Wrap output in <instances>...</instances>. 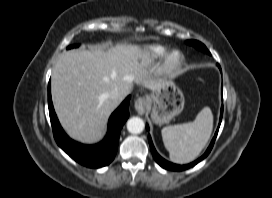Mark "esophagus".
Instances as JSON below:
<instances>
[{
    "instance_id": "1",
    "label": "esophagus",
    "mask_w": 272,
    "mask_h": 198,
    "mask_svg": "<svg viewBox=\"0 0 272 198\" xmlns=\"http://www.w3.org/2000/svg\"><path fill=\"white\" fill-rule=\"evenodd\" d=\"M134 107L135 110L139 113V114H143L147 108V102L145 97H139L135 100L134 103Z\"/></svg>"
}]
</instances>
